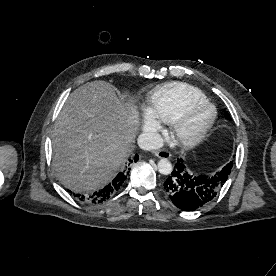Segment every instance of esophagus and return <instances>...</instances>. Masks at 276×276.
I'll list each match as a JSON object with an SVG mask.
<instances>
[{"label": "esophagus", "mask_w": 276, "mask_h": 276, "mask_svg": "<svg viewBox=\"0 0 276 276\" xmlns=\"http://www.w3.org/2000/svg\"><path fill=\"white\" fill-rule=\"evenodd\" d=\"M155 156H157L158 158H165V159H169L171 157V154L166 151V150H159V151H155L154 152Z\"/></svg>", "instance_id": "34e87169"}]
</instances>
